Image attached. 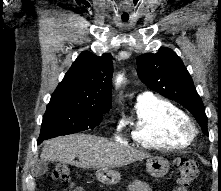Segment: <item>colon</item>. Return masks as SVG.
Here are the masks:
<instances>
[{
    "instance_id": "5ec220e1",
    "label": "colon",
    "mask_w": 221,
    "mask_h": 191,
    "mask_svg": "<svg viewBox=\"0 0 221 191\" xmlns=\"http://www.w3.org/2000/svg\"><path fill=\"white\" fill-rule=\"evenodd\" d=\"M174 167L179 172L178 187L186 188L196 178L198 174V165L192 159L176 158ZM71 171L67 165H58L52 173L53 180L62 184H67L70 180ZM69 191H84L80 187H71Z\"/></svg>"
}]
</instances>
